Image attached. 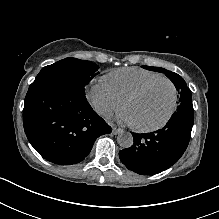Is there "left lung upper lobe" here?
I'll use <instances>...</instances> for the list:
<instances>
[{
  "label": "left lung upper lobe",
  "mask_w": 219,
  "mask_h": 219,
  "mask_svg": "<svg viewBox=\"0 0 219 219\" xmlns=\"http://www.w3.org/2000/svg\"><path fill=\"white\" fill-rule=\"evenodd\" d=\"M142 67L147 70L165 73V75L173 82L178 92H180V98H179L180 104L177 107V111L174 112L173 115H179V114L194 115L191 92L189 88L186 86V82L180 75L159 67H150V66H142Z\"/></svg>",
  "instance_id": "1"
}]
</instances>
